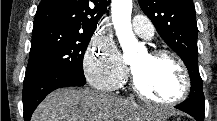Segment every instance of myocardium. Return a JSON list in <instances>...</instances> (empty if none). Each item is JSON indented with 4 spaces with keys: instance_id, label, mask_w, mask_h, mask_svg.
<instances>
[{
    "instance_id": "f54148a6",
    "label": "myocardium",
    "mask_w": 217,
    "mask_h": 121,
    "mask_svg": "<svg viewBox=\"0 0 217 121\" xmlns=\"http://www.w3.org/2000/svg\"><path fill=\"white\" fill-rule=\"evenodd\" d=\"M148 55L149 57L154 58V59L161 58V57H167V58H170L175 63L176 67L179 69L181 73V78H182L181 90L172 99H169V100L156 99L150 96L149 94H147L142 89L134 71L130 67V70H129L130 80H131V86H132L134 93L144 101H147L152 104L162 105V106H173L185 100L187 96L189 95V92L191 89V79H190V75H189L188 69L184 61L173 51L165 50V49L153 50L150 53H148Z\"/></svg>"
}]
</instances>
